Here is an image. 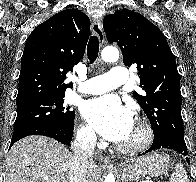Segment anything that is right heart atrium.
I'll return each instance as SVG.
<instances>
[{
	"instance_id": "1",
	"label": "right heart atrium",
	"mask_w": 196,
	"mask_h": 182,
	"mask_svg": "<svg viewBox=\"0 0 196 182\" xmlns=\"http://www.w3.org/2000/svg\"><path fill=\"white\" fill-rule=\"evenodd\" d=\"M77 138L86 146H93L97 141L96 135L89 125L79 126L77 129Z\"/></svg>"
}]
</instances>
